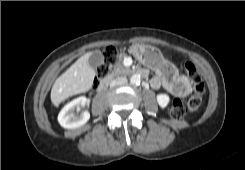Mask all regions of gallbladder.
<instances>
[{"label": "gallbladder", "instance_id": "obj_1", "mask_svg": "<svg viewBox=\"0 0 245 170\" xmlns=\"http://www.w3.org/2000/svg\"><path fill=\"white\" fill-rule=\"evenodd\" d=\"M103 62V55L100 51H93L88 59V64L96 69Z\"/></svg>", "mask_w": 245, "mask_h": 170}]
</instances>
